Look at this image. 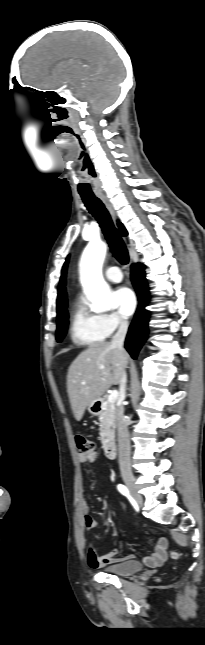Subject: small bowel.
<instances>
[{
  "instance_id": "small-bowel-1",
  "label": "small bowel",
  "mask_w": 205,
  "mask_h": 645,
  "mask_svg": "<svg viewBox=\"0 0 205 645\" xmlns=\"http://www.w3.org/2000/svg\"><path fill=\"white\" fill-rule=\"evenodd\" d=\"M79 461L81 463H84L86 462V459L80 456ZM82 508L84 512H88L89 505L86 501L83 502ZM85 522H86V527L88 529H93L94 527H96V522L88 516L86 517ZM167 548H168L167 539L163 536L159 537L157 540V544L154 548V551L150 555L145 556L143 558V562L150 567H157L162 565L168 558ZM133 558H134L133 555L120 557L119 550L116 548L112 549L111 551H109L107 554L103 556H98L94 548L90 546L87 553V562L91 568H100L106 565H110L113 563H117L123 560H129Z\"/></svg>"
}]
</instances>
